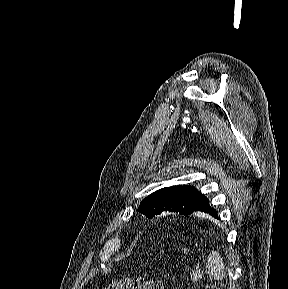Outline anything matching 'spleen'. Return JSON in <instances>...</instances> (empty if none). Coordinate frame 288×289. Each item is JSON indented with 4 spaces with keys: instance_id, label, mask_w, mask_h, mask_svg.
<instances>
[{
    "instance_id": "spleen-1",
    "label": "spleen",
    "mask_w": 288,
    "mask_h": 289,
    "mask_svg": "<svg viewBox=\"0 0 288 289\" xmlns=\"http://www.w3.org/2000/svg\"><path fill=\"white\" fill-rule=\"evenodd\" d=\"M207 268L214 279L222 280L224 278V264L221 255L217 251H212L207 258Z\"/></svg>"
}]
</instances>
